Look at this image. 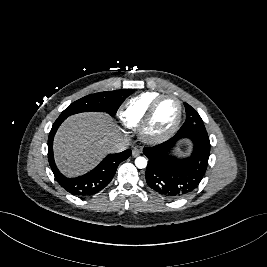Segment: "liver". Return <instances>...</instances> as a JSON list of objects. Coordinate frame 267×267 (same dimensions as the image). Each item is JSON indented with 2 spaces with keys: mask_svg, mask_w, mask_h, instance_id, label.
<instances>
[{
  "mask_svg": "<svg viewBox=\"0 0 267 267\" xmlns=\"http://www.w3.org/2000/svg\"><path fill=\"white\" fill-rule=\"evenodd\" d=\"M119 139L109 115L87 112L69 117L54 139L55 161L67 176H77L93 168Z\"/></svg>",
  "mask_w": 267,
  "mask_h": 267,
  "instance_id": "6515ba94",
  "label": "liver"
}]
</instances>
